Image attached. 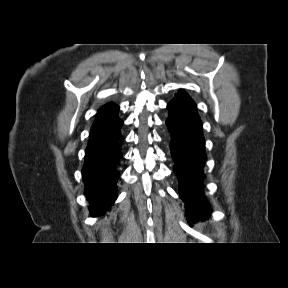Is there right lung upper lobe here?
Returning <instances> with one entry per match:
<instances>
[{
  "label": "right lung upper lobe",
  "mask_w": 288,
  "mask_h": 288,
  "mask_svg": "<svg viewBox=\"0 0 288 288\" xmlns=\"http://www.w3.org/2000/svg\"><path fill=\"white\" fill-rule=\"evenodd\" d=\"M118 110L119 106L114 103H108L99 109L96 121L91 128L88 144L101 142L117 132L122 122L118 118Z\"/></svg>",
  "instance_id": "cb5924a9"
}]
</instances>
